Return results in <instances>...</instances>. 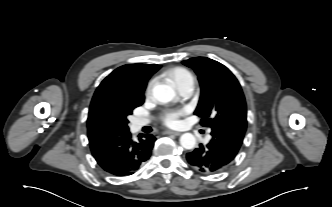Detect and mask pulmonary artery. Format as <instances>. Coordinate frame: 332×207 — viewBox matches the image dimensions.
I'll return each mask as SVG.
<instances>
[{
    "label": "pulmonary artery",
    "mask_w": 332,
    "mask_h": 207,
    "mask_svg": "<svg viewBox=\"0 0 332 207\" xmlns=\"http://www.w3.org/2000/svg\"><path fill=\"white\" fill-rule=\"evenodd\" d=\"M178 91L182 97L188 98L193 92V81L184 84ZM147 123L148 121L146 119L138 118L135 120V125L137 127L144 126Z\"/></svg>",
    "instance_id": "obj_1"
}]
</instances>
